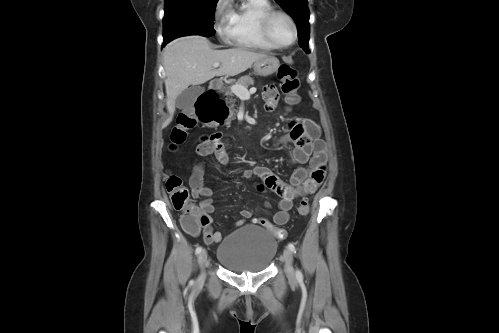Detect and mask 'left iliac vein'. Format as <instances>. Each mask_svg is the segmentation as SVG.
I'll return each mask as SVG.
<instances>
[{
	"instance_id": "1",
	"label": "left iliac vein",
	"mask_w": 499,
	"mask_h": 333,
	"mask_svg": "<svg viewBox=\"0 0 499 333\" xmlns=\"http://www.w3.org/2000/svg\"><path fill=\"white\" fill-rule=\"evenodd\" d=\"M283 260L285 262V270H286L288 278L290 280H295V271H294V268L292 265L293 255H292V252L288 248H285L283 251Z\"/></svg>"
}]
</instances>
